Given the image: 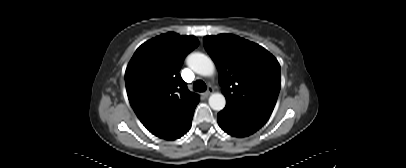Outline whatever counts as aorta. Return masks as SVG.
I'll return each mask as SVG.
<instances>
[{
  "mask_svg": "<svg viewBox=\"0 0 406 168\" xmlns=\"http://www.w3.org/2000/svg\"><path fill=\"white\" fill-rule=\"evenodd\" d=\"M187 65L197 74L211 76L215 71L213 61L203 53H191L187 57ZM209 105L215 111H221L226 105V99L221 93H213L209 97Z\"/></svg>",
  "mask_w": 406,
  "mask_h": 168,
  "instance_id": "762f6f07",
  "label": "aorta"
}]
</instances>
